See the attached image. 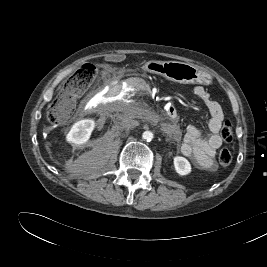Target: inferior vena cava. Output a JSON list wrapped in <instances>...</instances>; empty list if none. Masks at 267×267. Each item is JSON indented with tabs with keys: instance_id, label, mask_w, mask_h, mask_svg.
Segmentation results:
<instances>
[{
	"instance_id": "obj_1",
	"label": "inferior vena cava",
	"mask_w": 267,
	"mask_h": 267,
	"mask_svg": "<svg viewBox=\"0 0 267 267\" xmlns=\"http://www.w3.org/2000/svg\"><path fill=\"white\" fill-rule=\"evenodd\" d=\"M120 125L126 129H132L139 125L137 120H134L131 116L125 115L120 120Z\"/></svg>"
}]
</instances>
